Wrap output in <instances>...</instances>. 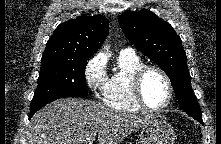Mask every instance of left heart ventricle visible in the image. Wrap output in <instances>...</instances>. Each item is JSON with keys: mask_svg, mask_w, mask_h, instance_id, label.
Instances as JSON below:
<instances>
[{"mask_svg": "<svg viewBox=\"0 0 221 144\" xmlns=\"http://www.w3.org/2000/svg\"><path fill=\"white\" fill-rule=\"evenodd\" d=\"M142 92L145 102L150 107H159L167 99L168 87L158 72L150 71L143 80Z\"/></svg>", "mask_w": 221, "mask_h": 144, "instance_id": "obj_1", "label": "left heart ventricle"}]
</instances>
